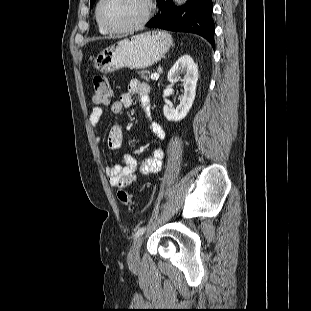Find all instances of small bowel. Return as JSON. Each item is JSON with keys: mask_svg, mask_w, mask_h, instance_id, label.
Here are the masks:
<instances>
[{"mask_svg": "<svg viewBox=\"0 0 311 311\" xmlns=\"http://www.w3.org/2000/svg\"><path fill=\"white\" fill-rule=\"evenodd\" d=\"M139 98V104L143 109L147 119L149 120V129L160 140L166 138L164 128L150 121V87L147 83L137 79L130 80L128 91L121 94L118 100L108 104L110 110L114 114H121L123 110L132 106L134 97ZM103 115V107L95 106L91 109L88 121L95 131L96 140H100L97 127ZM123 139L122 128L119 125H113L107 136V145L111 150H117L121 147ZM164 151L162 148H155L152 155L142 162L138 163L130 154H124L120 158V162L109 165L105 168L109 184L114 188H125L131 186L139 177L149 174L158 173L162 169Z\"/></svg>", "mask_w": 311, "mask_h": 311, "instance_id": "small-bowel-1", "label": "small bowel"}]
</instances>
